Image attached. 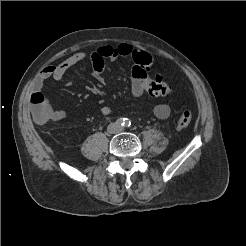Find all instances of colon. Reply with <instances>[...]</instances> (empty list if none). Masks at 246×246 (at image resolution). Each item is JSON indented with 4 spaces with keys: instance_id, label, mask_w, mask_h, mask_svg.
<instances>
[{
    "instance_id": "colon-1",
    "label": "colon",
    "mask_w": 246,
    "mask_h": 246,
    "mask_svg": "<svg viewBox=\"0 0 246 246\" xmlns=\"http://www.w3.org/2000/svg\"><path fill=\"white\" fill-rule=\"evenodd\" d=\"M134 66L142 73L149 70L152 65V56L142 50L135 49L131 56ZM173 92L172 86L162 80L161 77H155L149 80L146 86V93L153 97H162L170 95ZM32 114L38 123H45L48 117V106L45 98L40 93H33L30 98ZM192 120V114L186 110L177 118V125L180 128L187 127Z\"/></svg>"
}]
</instances>
